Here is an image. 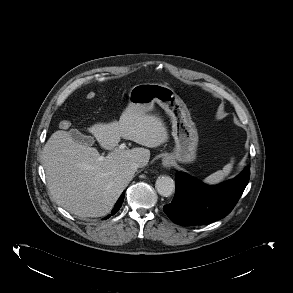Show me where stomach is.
<instances>
[{"label":"stomach","mask_w":293,"mask_h":293,"mask_svg":"<svg viewBox=\"0 0 293 293\" xmlns=\"http://www.w3.org/2000/svg\"><path fill=\"white\" fill-rule=\"evenodd\" d=\"M155 103L171 118L176 146L170 157L181 163H191L196 158L198 132L187 106L172 88L157 83L135 85L129 92L127 108L148 114Z\"/></svg>","instance_id":"stomach-1"}]
</instances>
